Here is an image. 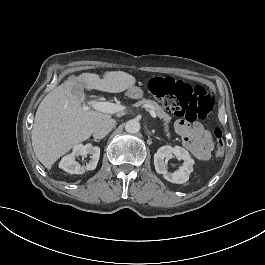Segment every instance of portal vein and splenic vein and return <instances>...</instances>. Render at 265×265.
Here are the masks:
<instances>
[{
  "instance_id": "1",
  "label": "portal vein and splenic vein",
  "mask_w": 265,
  "mask_h": 265,
  "mask_svg": "<svg viewBox=\"0 0 265 265\" xmlns=\"http://www.w3.org/2000/svg\"><path fill=\"white\" fill-rule=\"evenodd\" d=\"M89 105L92 106V108H94L97 111L108 113V114H114V113L123 111L125 109V106L117 105L111 102L92 101V102H89ZM149 113L153 118H156L157 114L154 110H150Z\"/></svg>"
}]
</instances>
